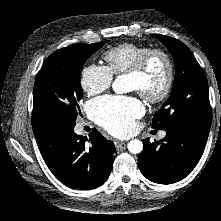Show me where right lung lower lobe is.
Wrapping results in <instances>:
<instances>
[{"label": "right lung lower lobe", "instance_id": "1", "mask_svg": "<svg viewBox=\"0 0 221 221\" xmlns=\"http://www.w3.org/2000/svg\"><path fill=\"white\" fill-rule=\"evenodd\" d=\"M75 124L50 123L35 132L40 153L53 175L72 189H94L109 177L114 143L96 129L90 138L77 135ZM87 142L89 144H87Z\"/></svg>", "mask_w": 221, "mask_h": 221}]
</instances>
